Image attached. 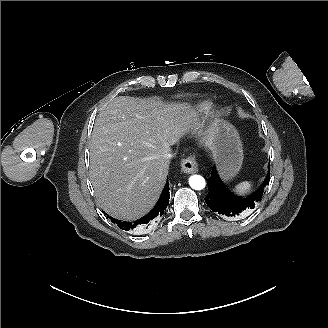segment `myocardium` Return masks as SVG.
Returning <instances> with one entry per match:
<instances>
[{
    "mask_svg": "<svg viewBox=\"0 0 328 328\" xmlns=\"http://www.w3.org/2000/svg\"><path fill=\"white\" fill-rule=\"evenodd\" d=\"M212 119L214 124L220 125L223 119V113L220 110L215 109L212 115Z\"/></svg>",
    "mask_w": 328,
    "mask_h": 328,
    "instance_id": "f54148a6",
    "label": "myocardium"
}]
</instances>
